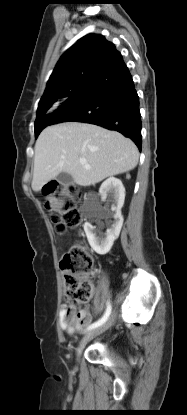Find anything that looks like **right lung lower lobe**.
I'll return each mask as SVG.
<instances>
[{"label":"right lung lower lobe","instance_id":"98d812e1","mask_svg":"<svg viewBox=\"0 0 187 415\" xmlns=\"http://www.w3.org/2000/svg\"><path fill=\"white\" fill-rule=\"evenodd\" d=\"M67 121L118 131L141 151L139 97L121 55L85 80L82 89L53 113L50 125Z\"/></svg>","mask_w":187,"mask_h":415}]
</instances>
